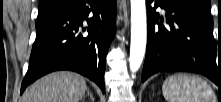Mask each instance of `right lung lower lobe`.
<instances>
[{"label":"right lung lower lobe","instance_id":"98d812e1","mask_svg":"<svg viewBox=\"0 0 221 102\" xmlns=\"http://www.w3.org/2000/svg\"><path fill=\"white\" fill-rule=\"evenodd\" d=\"M36 29L21 94L36 79L57 70L76 71L105 92L106 55L116 29V0H72Z\"/></svg>","mask_w":221,"mask_h":102}]
</instances>
